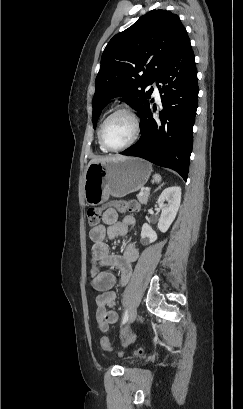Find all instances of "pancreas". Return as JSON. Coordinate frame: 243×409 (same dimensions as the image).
Wrapping results in <instances>:
<instances>
[{
    "label": "pancreas",
    "mask_w": 243,
    "mask_h": 409,
    "mask_svg": "<svg viewBox=\"0 0 243 409\" xmlns=\"http://www.w3.org/2000/svg\"><path fill=\"white\" fill-rule=\"evenodd\" d=\"M149 197V191H143L140 194H138L137 199L141 204H145L148 201Z\"/></svg>",
    "instance_id": "1"
}]
</instances>
